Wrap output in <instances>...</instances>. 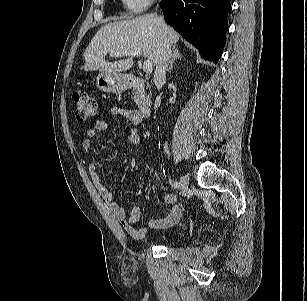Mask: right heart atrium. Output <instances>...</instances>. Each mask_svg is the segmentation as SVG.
I'll return each instance as SVG.
<instances>
[{
	"mask_svg": "<svg viewBox=\"0 0 307 301\" xmlns=\"http://www.w3.org/2000/svg\"><path fill=\"white\" fill-rule=\"evenodd\" d=\"M125 5L132 11H141L152 4L154 0H123Z\"/></svg>",
	"mask_w": 307,
	"mask_h": 301,
	"instance_id": "d8ad5b80",
	"label": "right heart atrium"
}]
</instances>
